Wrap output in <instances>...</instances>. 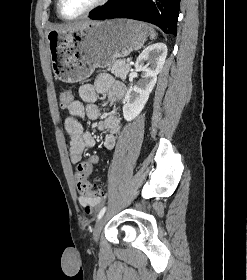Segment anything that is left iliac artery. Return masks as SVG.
<instances>
[{
    "instance_id": "obj_1",
    "label": "left iliac artery",
    "mask_w": 247,
    "mask_h": 280,
    "mask_svg": "<svg viewBox=\"0 0 247 280\" xmlns=\"http://www.w3.org/2000/svg\"><path fill=\"white\" fill-rule=\"evenodd\" d=\"M105 211H106V206H104V207L100 210V212L98 213V216H97L98 220H99L100 218H102V216L104 215Z\"/></svg>"
}]
</instances>
